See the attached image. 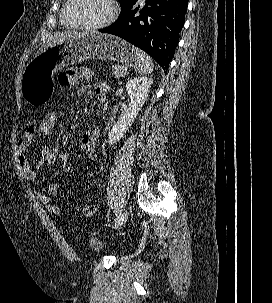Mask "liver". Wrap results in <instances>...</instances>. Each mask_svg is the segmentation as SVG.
<instances>
[{"label":"liver","instance_id":"obj_1","mask_svg":"<svg viewBox=\"0 0 272 303\" xmlns=\"http://www.w3.org/2000/svg\"><path fill=\"white\" fill-rule=\"evenodd\" d=\"M85 34L86 33H71V32L56 34L48 40L46 47H48L52 44H55V43H57L61 40H64V39H67V38H74V37L82 36V35H85ZM42 50H43V48H41L38 53H40Z\"/></svg>","mask_w":272,"mask_h":303}]
</instances>
